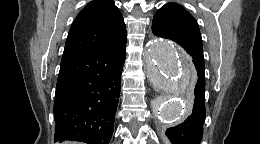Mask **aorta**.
I'll return each instance as SVG.
<instances>
[{"label":"aorta","mask_w":260,"mask_h":144,"mask_svg":"<svg viewBox=\"0 0 260 144\" xmlns=\"http://www.w3.org/2000/svg\"><path fill=\"white\" fill-rule=\"evenodd\" d=\"M146 58L153 85L171 93L155 100L160 120H182L188 112L186 91L193 71L189 56L173 42L154 38L146 48Z\"/></svg>","instance_id":"obj_1"}]
</instances>
